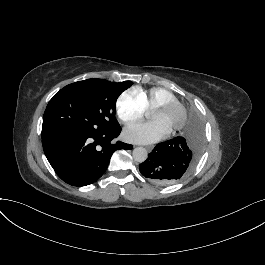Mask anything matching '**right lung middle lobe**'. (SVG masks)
<instances>
[{
    "mask_svg": "<svg viewBox=\"0 0 265 265\" xmlns=\"http://www.w3.org/2000/svg\"><path fill=\"white\" fill-rule=\"evenodd\" d=\"M132 84L87 79L65 86L47 105L42 139L61 133L99 134L119 128L116 100Z\"/></svg>",
    "mask_w": 265,
    "mask_h": 265,
    "instance_id": "dd1d6c3e",
    "label": "right lung middle lobe"
}]
</instances>
